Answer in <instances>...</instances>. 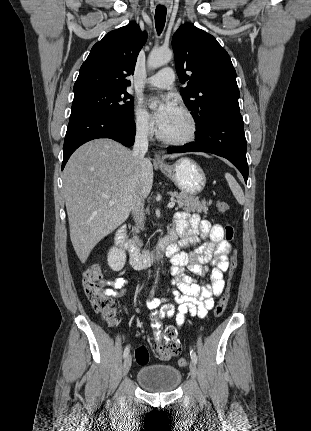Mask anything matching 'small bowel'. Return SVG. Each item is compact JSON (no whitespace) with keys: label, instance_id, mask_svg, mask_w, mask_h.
Listing matches in <instances>:
<instances>
[{"label":"small bowel","instance_id":"c3829d8e","mask_svg":"<svg viewBox=\"0 0 311 431\" xmlns=\"http://www.w3.org/2000/svg\"><path fill=\"white\" fill-rule=\"evenodd\" d=\"M171 230L180 237L170 256L172 283L175 285L173 295L178 307L175 309L160 298L147 300L146 306L152 310L151 327L156 339L163 337L177 341L185 316H205L214 305V297L222 294L231 245L224 240L220 224H212L197 213H176ZM187 270L198 277L209 273L210 279L199 283L187 274ZM125 285L126 281L118 278L113 281V288L105 290V293L107 296H120ZM164 317H175V325L164 328L161 323Z\"/></svg>","mask_w":311,"mask_h":431}]
</instances>
